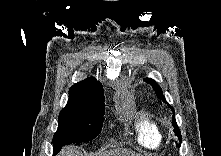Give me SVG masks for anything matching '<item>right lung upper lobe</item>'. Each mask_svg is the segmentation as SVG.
Here are the masks:
<instances>
[{
	"label": "right lung upper lobe",
	"mask_w": 221,
	"mask_h": 156,
	"mask_svg": "<svg viewBox=\"0 0 221 156\" xmlns=\"http://www.w3.org/2000/svg\"><path fill=\"white\" fill-rule=\"evenodd\" d=\"M104 100L102 84L94 77H88L70 88L67 105L104 103Z\"/></svg>",
	"instance_id": "right-lung-upper-lobe-1"
}]
</instances>
